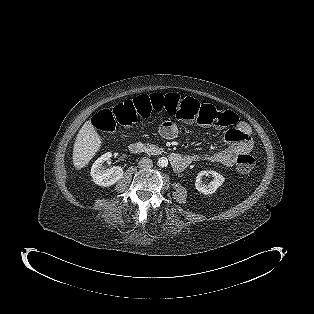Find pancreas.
I'll list each match as a JSON object with an SVG mask.
<instances>
[{
	"label": "pancreas",
	"instance_id": "pancreas-1",
	"mask_svg": "<svg viewBox=\"0 0 314 314\" xmlns=\"http://www.w3.org/2000/svg\"><path fill=\"white\" fill-rule=\"evenodd\" d=\"M146 152H147L148 154H150V155H157V154L163 153V152H164V149H163V148H160V147H158V146H156V145H153V144H151V145L147 144V146H146Z\"/></svg>",
	"mask_w": 314,
	"mask_h": 314
}]
</instances>
